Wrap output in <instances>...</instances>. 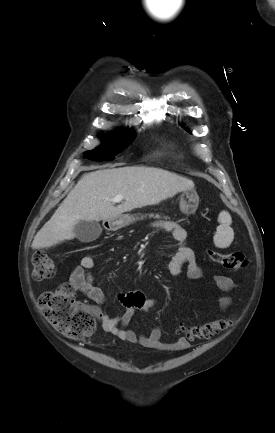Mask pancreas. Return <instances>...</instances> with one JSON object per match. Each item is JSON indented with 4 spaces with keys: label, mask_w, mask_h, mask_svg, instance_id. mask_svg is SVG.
<instances>
[{
    "label": "pancreas",
    "mask_w": 275,
    "mask_h": 433,
    "mask_svg": "<svg viewBox=\"0 0 275 433\" xmlns=\"http://www.w3.org/2000/svg\"><path fill=\"white\" fill-rule=\"evenodd\" d=\"M150 217H154V218H157V219H160V218H161L160 215H155V216L150 215ZM163 218H164L165 220L169 219V217H167V216H164Z\"/></svg>",
    "instance_id": "obj_1"
}]
</instances>
